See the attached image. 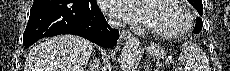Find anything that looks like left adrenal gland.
I'll return each mask as SVG.
<instances>
[{
    "instance_id": "1",
    "label": "left adrenal gland",
    "mask_w": 230,
    "mask_h": 71,
    "mask_svg": "<svg viewBox=\"0 0 230 71\" xmlns=\"http://www.w3.org/2000/svg\"><path fill=\"white\" fill-rule=\"evenodd\" d=\"M145 68H146V71H148V69H149V64L148 63L145 65Z\"/></svg>"
}]
</instances>
